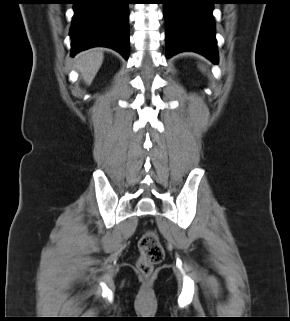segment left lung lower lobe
Returning a JSON list of instances; mask_svg holds the SVG:
<instances>
[{"instance_id": "left-lung-lower-lobe-1", "label": "left lung lower lobe", "mask_w": 290, "mask_h": 321, "mask_svg": "<svg viewBox=\"0 0 290 321\" xmlns=\"http://www.w3.org/2000/svg\"><path fill=\"white\" fill-rule=\"evenodd\" d=\"M213 4L216 0H164L167 57L195 51L218 62Z\"/></svg>"}]
</instances>
